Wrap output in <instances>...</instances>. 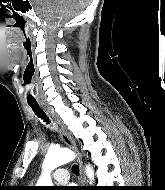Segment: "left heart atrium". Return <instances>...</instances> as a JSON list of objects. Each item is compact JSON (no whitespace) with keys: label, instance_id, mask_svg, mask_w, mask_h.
Here are the masks:
<instances>
[{"label":"left heart atrium","instance_id":"39dd6f15","mask_svg":"<svg viewBox=\"0 0 165 190\" xmlns=\"http://www.w3.org/2000/svg\"><path fill=\"white\" fill-rule=\"evenodd\" d=\"M64 190H74L73 187H66Z\"/></svg>","mask_w":165,"mask_h":190}]
</instances>
